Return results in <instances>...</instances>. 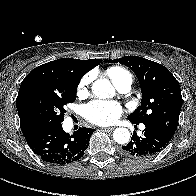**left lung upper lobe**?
Wrapping results in <instances>:
<instances>
[{"label":"left lung upper lobe","mask_w":196,"mask_h":196,"mask_svg":"<svg viewBox=\"0 0 196 196\" xmlns=\"http://www.w3.org/2000/svg\"><path fill=\"white\" fill-rule=\"evenodd\" d=\"M120 63L136 74L142 92L141 105L128 116L135 123L158 124L174 135L182 106L178 81L163 65L138 56L105 60Z\"/></svg>","instance_id":"5c2ea615"}]
</instances>
